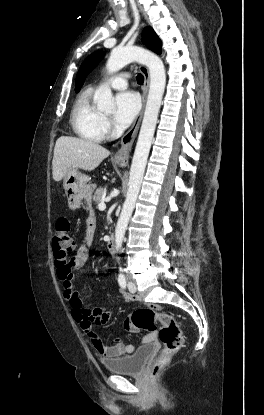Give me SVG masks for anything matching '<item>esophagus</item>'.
Listing matches in <instances>:
<instances>
[{"instance_id":"1","label":"esophagus","mask_w":264,"mask_h":415,"mask_svg":"<svg viewBox=\"0 0 264 415\" xmlns=\"http://www.w3.org/2000/svg\"><path fill=\"white\" fill-rule=\"evenodd\" d=\"M140 71L144 77V84L142 86V108L139 114L134 119V122L132 126L130 127V129L121 138L120 148L113 157V161L121 163V164H125V165L129 161V156H130V152L132 149V145L134 143V140L137 136V133L140 127V123H141L143 113H144V108L146 105L149 84H150V76H149L148 68L145 65H141Z\"/></svg>"}]
</instances>
